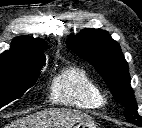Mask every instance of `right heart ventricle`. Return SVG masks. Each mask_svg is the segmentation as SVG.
I'll use <instances>...</instances> for the list:
<instances>
[{
	"instance_id": "1",
	"label": "right heart ventricle",
	"mask_w": 142,
	"mask_h": 128,
	"mask_svg": "<svg viewBox=\"0 0 142 128\" xmlns=\"http://www.w3.org/2000/svg\"><path fill=\"white\" fill-rule=\"evenodd\" d=\"M50 96L55 103L83 109H97L105 104L99 85L76 66H67L53 77Z\"/></svg>"
}]
</instances>
